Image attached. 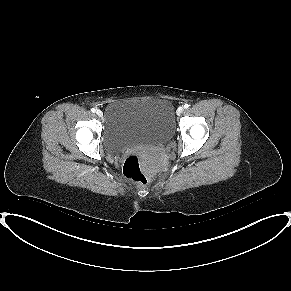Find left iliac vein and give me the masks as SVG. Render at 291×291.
<instances>
[{
  "instance_id": "left-iliac-vein-1",
  "label": "left iliac vein",
  "mask_w": 291,
  "mask_h": 291,
  "mask_svg": "<svg viewBox=\"0 0 291 291\" xmlns=\"http://www.w3.org/2000/svg\"><path fill=\"white\" fill-rule=\"evenodd\" d=\"M182 112H183V107H179L177 109V115L180 116L182 114Z\"/></svg>"
}]
</instances>
